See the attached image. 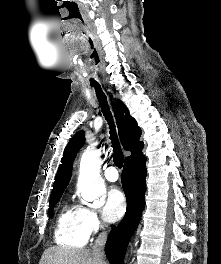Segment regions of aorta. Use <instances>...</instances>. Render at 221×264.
<instances>
[{
    "label": "aorta",
    "instance_id": "1",
    "mask_svg": "<svg viewBox=\"0 0 221 264\" xmlns=\"http://www.w3.org/2000/svg\"><path fill=\"white\" fill-rule=\"evenodd\" d=\"M100 153L86 150L80 160L78 190L87 202H98L105 193L104 181L100 176Z\"/></svg>",
    "mask_w": 221,
    "mask_h": 264
}]
</instances>
